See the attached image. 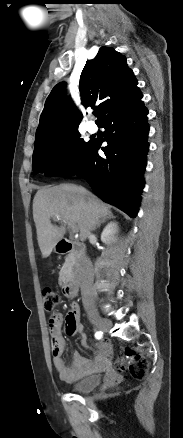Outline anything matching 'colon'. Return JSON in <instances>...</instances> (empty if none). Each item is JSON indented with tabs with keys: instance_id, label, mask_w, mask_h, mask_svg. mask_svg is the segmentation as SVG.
<instances>
[{
	"instance_id": "obj_1",
	"label": "colon",
	"mask_w": 183,
	"mask_h": 438,
	"mask_svg": "<svg viewBox=\"0 0 183 438\" xmlns=\"http://www.w3.org/2000/svg\"><path fill=\"white\" fill-rule=\"evenodd\" d=\"M42 296L44 308L48 311L53 310L58 303L57 293L52 288L45 287L42 291ZM66 328L68 333L73 334V327ZM116 365L121 370H128L130 374L137 379L144 378L148 371L147 360L131 350H128L125 354L121 355L118 358Z\"/></svg>"
}]
</instances>
